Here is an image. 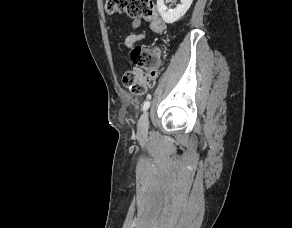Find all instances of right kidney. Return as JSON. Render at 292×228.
Returning a JSON list of instances; mask_svg holds the SVG:
<instances>
[{"label":"right kidney","instance_id":"right-kidney-1","mask_svg":"<svg viewBox=\"0 0 292 228\" xmlns=\"http://www.w3.org/2000/svg\"><path fill=\"white\" fill-rule=\"evenodd\" d=\"M192 2L193 0H180V4L175 9L168 10L164 0H157V8L163 20L168 24H172L185 15Z\"/></svg>","mask_w":292,"mask_h":228}]
</instances>
